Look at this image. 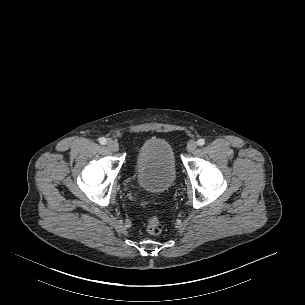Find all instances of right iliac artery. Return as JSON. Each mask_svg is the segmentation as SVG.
I'll return each instance as SVG.
<instances>
[{"instance_id":"right-iliac-artery-1","label":"right iliac artery","mask_w":305,"mask_h":305,"mask_svg":"<svg viewBox=\"0 0 305 305\" xmlns=\"http://www.w3.org/2000/svg\"><path fill=\"white\" fill-rule=\"evenodd\" d=\"M99 142H100V144L105 145L106 142H107V140H106V138L101 137V138L99 139Z\"/></svg>"}]
</instances>
